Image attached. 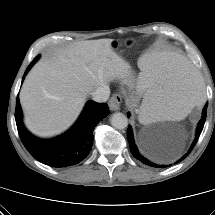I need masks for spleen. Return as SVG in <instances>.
<instances>
[{
  "label": "spleen",
  "mask_w": 215,
  "mask_h": 215,
  "mask_svg": "<svg viewBox=\"0 0 215 215\" xmlns=\"http://www.w3.org/2000/svg\"><path fill=\"white\" fill-rule=\"evenodd\" d=\"M145 90L141 122L179 119L205 101L204 85L188 60L176 53H157L138 63Z\"/></svg>",
  "instance_id": "3e777b00"
}]
</instances>
